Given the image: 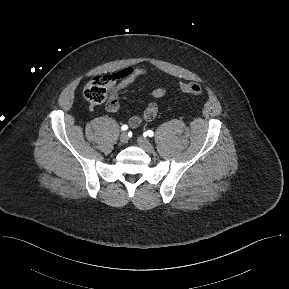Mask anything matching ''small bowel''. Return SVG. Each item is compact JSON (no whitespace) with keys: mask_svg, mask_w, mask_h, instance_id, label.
Wrapping results in <instances>:
<instances>
[{"mask_svg":"<svg viewBox=\"0 0 289 289\" xmlns=\"http://www.w3.org/2000/svg\"><path fill=\"white\" fill-rule=\"evenodd\" d=\"M148 73L146 68H123L111 76L112 98L116 101L117 107L110 112H115L118 109V102L116 96L124 90L131 82ZM152 96L154 98H162L166 95V89L156 87L152 89ZM158 113V106L155 102L149 103L139 115H134L129 119V124L132 128H136L144 121L153 120Z\"/></svg>","mask_w":289,"mask_h":289,"instance_id":"1","label":"small bowel"}]
</instances>
